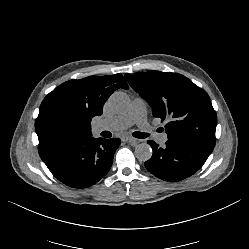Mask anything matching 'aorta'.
Instances as JSON below:
<instances>
[{
  "instance_id": "obj_1",
  "label": "aorta",
  "mask_w": 249,
  "mask_h": 249,
  "mask_svg": "<svg viewBox=\"0 0 249 249\" xmlns=\"http://www.w3.org/2000/svg\"><path fill=\"white\" fill-rule=\"evenodd\" d=\"M109 108L115 113H124L130 106V99L124 92H114L108 100ZM135 156L139 161H147L152 157V149L147 143H140L135 147Z\"/></svg>"
}]
</instances>
